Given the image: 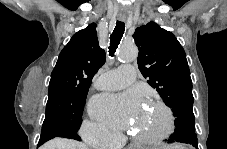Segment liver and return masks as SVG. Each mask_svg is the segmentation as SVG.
I'll return each instance as SVG.
<instances>
[{"label": "liver", "mask_w": 227, "mask_h": 149, "mask_svg": "<svg viewBox=\"0 0 227 149\" xmlns=\"http://www.w3.org/2000/svg\"><path fill=\"white\" fill-rule=\"evenodd\" d=\"M41 149H88V146L69 139L55 138L41 146Z\"/></svg>", "instance_id": "6515ba94"}]
</instances>
